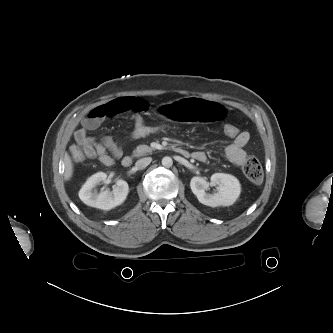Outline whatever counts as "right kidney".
<instances>
[{"label":"right kidney","mask_w":333,"mask_h":333,"mask_svg":"<svg viewBox=\"0 0 333 333\" xmlns=\"http://www.w3.org/2000/svg\"><path fill=\"white\" fill-rule=\"evenodd\" d=\"M107 174L104 172H98L87 179L85 184L79 191V198L86 205L103 209L110 210L120 204H122L129 192L127 182L124 180H117L116 186L113 191H102L97 193L93 189L101 182L106 181Z\"/></svg>","instance_id":"1"}]
</instances>
